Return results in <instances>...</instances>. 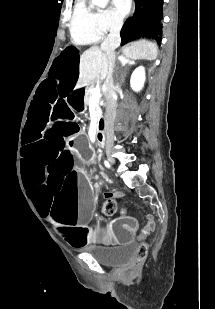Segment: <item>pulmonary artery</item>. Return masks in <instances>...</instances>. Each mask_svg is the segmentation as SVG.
<instances>
[{
    "label": "pulmonary artery",
    "mask_w": 215,
    "mask_h": 309,
    "mask_svg": "<svg viewBox=\"0 0 215 309\" xmlns=\"http://www.w3.org/2000/svg\"><path fill=\"white\" fill-rule=\"evenodd\" d=\"M77 8H88V1H77ZM76 16H85V9H76Z\"/></svg>",
    "instance_id": "e3ab8cb5"
}]
</instances>
